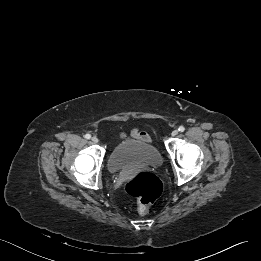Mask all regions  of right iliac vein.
<instances>
[{"mask_svg": "<svg viewBox=\"0 0 261 261\" xmlns=\"http://www.w3.org/2000/svg\"><path fill=\"white\" fill-rule=\"evenodd\" d=\"M92 141H93L94 143H98L99 139H98L96 136H93V137H92Z\"/></svg>", "mask_w": 261, "mask_h": 261, "instance_id": "obj_1", "label": "right iliac vein"}]
</instances>
